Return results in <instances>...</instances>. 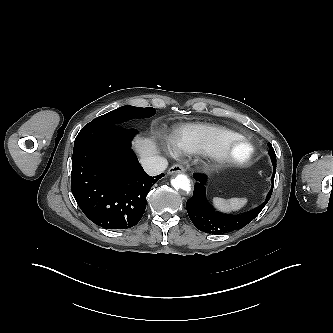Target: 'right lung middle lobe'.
Segmentation results:
<instances>
[{
  "instance_id": "obj_1",
  "label": "right lung middle lobe",
  "mask_w": 333,
  "mask_h": 333,
  "mask_svg": "<svg viewBox=\"0 0 333 333\" xmlns=\"http://www.w3.org/2000/svg\"><path fill=\"white\" fill-rule=\"evenodd\" d=\"M156 110L152 107L141 108L134 106H122L105 115L95 118L88 124L95 125H119L133 118H148L153 116Z\"/></svg>"
}]
</instances>
